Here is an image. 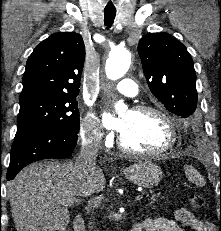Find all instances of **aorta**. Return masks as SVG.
Returning a JSON list of instances; mask_svg holds the SVG:
<instances>
[{
    "label": "aorta",
    "mask_w": 221,
    "mask_h": 231,
    "mask_svg": "<svg viewBox=\"0 0 221 231\" xmlns=\"http://www.w3.org/2000/svg\"><path fill=\"white\" fill-rule=\"evenodd\" d=\"M131 63V53L125 48H115L106 60L105 72L110 80H118L125 75ZM124 107L122 102L116 108Z\"/></svg>",
    "instance_id": "aorta-1"
}]
</instances>
